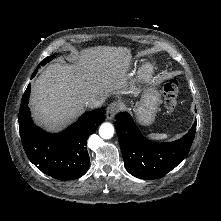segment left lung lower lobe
Here are the masks:
<instances>
[{
  "label": "left lung lower lobe",
  "mask_w": 221,
  "mask_h": 221,
  "mask_svg": "<svg viewBox=\"0 0 221 221\" xmlns=\"http://www.w3.org/2000/svg\"><path fill=\"white\" fill-rule=\"evenodd\" d=\"M115 128L126 170L140 179H157L179 165L192 145L196 121L182 138L167 143L148 141L132 117L122 112L116 116Z\"/></svg>",
  "instance_id": "1"
}]
</instances>
